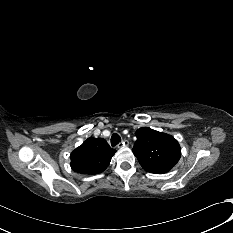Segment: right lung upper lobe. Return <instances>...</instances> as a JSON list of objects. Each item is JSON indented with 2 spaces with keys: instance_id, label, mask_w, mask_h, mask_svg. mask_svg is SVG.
<instances>
[{
  "instance_id": "right-lung-upper-lobe-1",
  "label": "right lung upper lobe",
  "mask_w": 233,
  "mask_h": 233,
  "mask_svg": "<svg viewBox=\"0 0 233 233\" xmlns=\"http://www.w3.org/2000/svg\"><path fill=\"white\" fill-rule=\"evenodd\" d=\"M116 150L103 138H88L71 153V168L80 174H98L109 165Z\"/></svg>"
}]
</instances>
